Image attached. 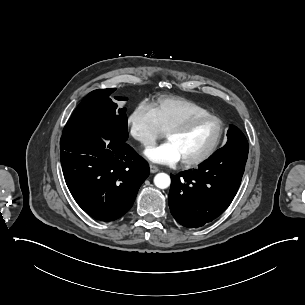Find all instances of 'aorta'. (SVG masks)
Masks as SVG:
<instances>
[{
  "label": "aorta",
  "mask_w": 305,
  "mask_h": 305,
  "mask_svg": "<svg viewBox=\"0 0 305 305\" xmlns=\"http://www.w3.org/2000/svg\"><path fill=\"white\" fill-rule=\"evenodd\" d=\"M171 179L170 176L166 173H158L154 177V184L160 189H166L170 186Z\"/></svg>",
  "instance_id": "obj_1"
}]
</instances>
